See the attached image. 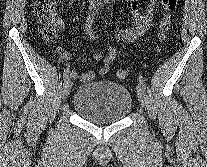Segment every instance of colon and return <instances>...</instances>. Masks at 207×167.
Wrapping results in <instances>:
<instances>
[{
	"mask_svg": "<svg viewBox=\"0 0 207 167\" xmlns=\"http://www.w3.org/2000/svg\"><path fill=\"white\" fill-rule=\"evenodd\" d=\"M178 0H161L163 17L159 23V39L163 41L171 25L172 15L177 7ZM56 0H34V13L42 26L43 38L48 42L56 39ZM117 78L125 80L128 78V71L119 69L116 73Z\"/></svg>",
	"mask_w": 207,
	"mask_h": 167,
	"instance_id": "colon-1",
	"label": "colon"
}]
</instances>
